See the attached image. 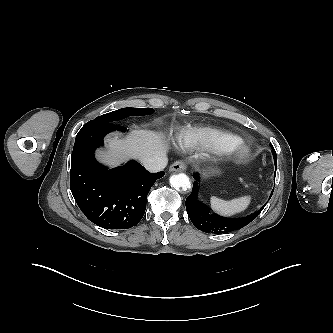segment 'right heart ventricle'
<instances>
[{
  "instance_id": "1",
  "label": "right heart ventricle",
  "mask_w": 333,
  "mask_h": 333,
  "mask_svg": "<svg viewBox=\"0 0 333 333\" xmlns=\"http://www.w3.org/2000/svg\"><path fill=\"white\" fill-rule=\"evenodd\" d=\"M237 140L236 136L209 126H189L177 135L178 145L185 150H212Z\"/></svg>"
}]
</instances>
